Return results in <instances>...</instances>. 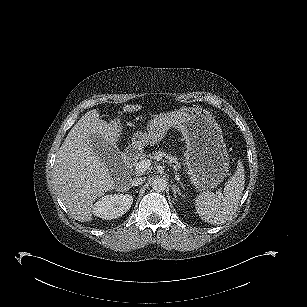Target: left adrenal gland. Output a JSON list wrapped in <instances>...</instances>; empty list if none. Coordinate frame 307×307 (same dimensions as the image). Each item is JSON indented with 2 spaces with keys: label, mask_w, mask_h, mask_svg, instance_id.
<instances>
[{
  "label": "left adrenal gland",
  "mask_w": 307,
  "mask_h": 307,
  "mask_svg": "<svg viewBox=\"0 0 307 307\" xmlns=\"http://www.w3.org/2000/svg\"><path fill=\"white\" fill-rule=\"evenodd\" d=\"M172 191H173V195L175 198H177V194L179 196H181L182 198H185V195L183 193H181V190L179 189V187H177L176 185H172Z\"/></svg>",
  "instance_id": "a2214340"
}]
</instances>
